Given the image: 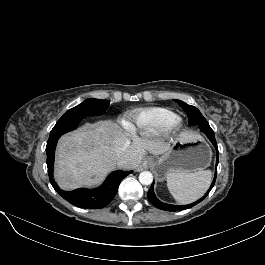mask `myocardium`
Instances as JSON below:
<instances>
[{"mask_svg": "<svg viewBox=\"0 0 265 265\" xmlns=\"http://www.w3.org/2000/svg\"><path fill=\"white\" fill-rule=\"evenodd\" d=\"M183 121L180 117H177L175 120H173L168 128L166 129V133L169 135H173L178 133L179 131H181V129L183 128Z\"/></svg>", "mask_w": 265, "mask_h": 265, "instance_id": "f54148a6", "label": "myocardium"}]
</instances>
